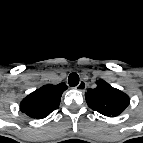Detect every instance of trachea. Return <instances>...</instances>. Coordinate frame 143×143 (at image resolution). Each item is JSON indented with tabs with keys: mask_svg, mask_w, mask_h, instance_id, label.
Instances as JSON below:
<instances>
[{
	"mask_svg": "<svg viewBox=\"0 0 143 143\" xmlns=\"http://www.w3.org/2000/svg\"><path fill=\"white\" fill-rule=\"evenodd\" d=\"M68 84L71 86V87H75L79 84V76L77 73L73 72L69 75L68 77Z\"/></svg>",
	"mask_w": 143,
	"mask_h": 143,
	"instance_id": "3493384b",
	"label": "trachea"
}]
</instances>
